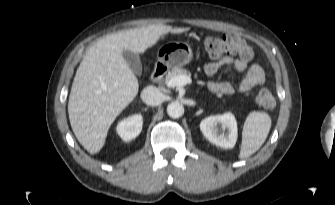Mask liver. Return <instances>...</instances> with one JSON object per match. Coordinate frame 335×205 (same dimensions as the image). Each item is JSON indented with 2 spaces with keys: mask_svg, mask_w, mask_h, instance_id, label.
<instances>
[{
  "mask_svg": "<svg viewBox=\"0 0 335 205\" xmlns=\"http://www.w3.org/2000/svg\"><path fill=\"white\" fill-rule=\"evenodd\" d=\"M188 30L150 25L113 33L87 50L71 87L68 114L76 138L90 154L102 149L111 124L138 94V80L123 51L143 54L162 35Z\"/></svg>",
  "mask_w": 335,
  "mask_h": 205,
  "instance_id": "1",
  "label": "liver"
}]
</instances>
